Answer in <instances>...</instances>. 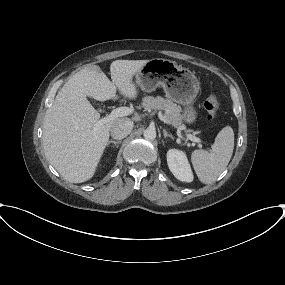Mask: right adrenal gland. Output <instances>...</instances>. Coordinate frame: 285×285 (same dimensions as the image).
<instances>
[{
	"label": "right adrenal gland",
	"instance_id": "1",
	"mask_svg": "<svg viewBox=\"0 0 285 285\" xmlns=\"http://www.w3.org/2000/svg\"><path fill=\"white\" fill-rule=\"evenodd\" d=\"M111 143L114 144V145H118V144L121 143V140H117V141H115V140H109V141L107 142V147H108Z\"/></svg>",
	"mask_w": 285,
	"mask_h": 285
}]
</instances>
